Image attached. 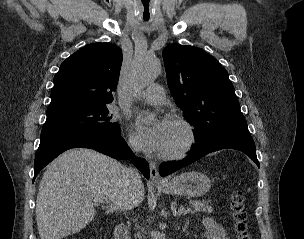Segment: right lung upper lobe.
Here are the masks:
<instances>
[{"instance_id": "right-lung-upper-lobe-1", "label": "right lung upper lobe", "mask_w": 304, "mask_h": 239, "mask_svg": "<svg viewBox=\"0 0 304 239\" xmlns=\"http://www.w3.org/2000/svg\"><path fill=\"white\" fill-rule=\"evenodd\" d=\"M122 50L110 43L89 44L72 54L54 77L47 115L113 101Z\"/></svg>"}]
</instances>
